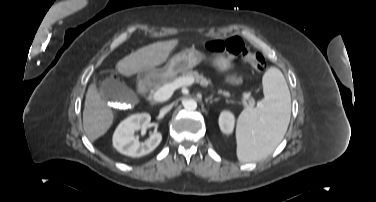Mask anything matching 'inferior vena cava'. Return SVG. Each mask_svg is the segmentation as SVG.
<instances>
[{"label": "inferior vena cava", "instance_id": "inferior-vena-cava-1", "mask_svg": "<svg viewBox=\"0 0 376 202\" xmlns=\"http://www.w3.org/2000/svg\"><path fill=\"white\" fill-rule=\"evenodd\" d=\"M170 109H171L170 106L163 107V108L160 110V114H161V115H164V114H166Z\"/></svg>", "mask_w": 376, "mask_h": 202}]
</instances>
